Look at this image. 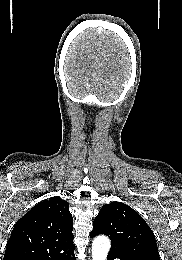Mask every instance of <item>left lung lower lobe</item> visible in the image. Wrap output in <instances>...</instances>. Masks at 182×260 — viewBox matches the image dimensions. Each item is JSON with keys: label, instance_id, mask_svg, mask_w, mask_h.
Here are the masks:
<instances>
[{"label": "left lung lower lobe", "instance_id": "left-lung-lower-lobe-1", "mask_svg": "<svg viewBox=\"0 0 182 260\" xmlns=\"http://www.w3.org/2000/svg\"><path fill=\"white\" fill-rule=\"evenodd\" d=\"M116 258H118L120 260H145V259H142V258H133V257H130V256H124V255L109 252L108 260H113V259H116Z\"/></svg>", "mask_w": 182, "mask_h": 260}]
</instances>
